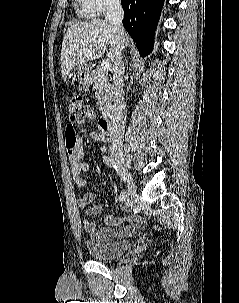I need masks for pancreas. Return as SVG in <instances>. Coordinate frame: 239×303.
Returning <instances> with one entry per match:
<instances>
[{
	"instance_id": "obj_1",
	"label": "pancreas",
	"mask_w": 239,
	"mask_h": 303,
	"mask_svg": "<svg viewBox=\"0 0 239 303\" xmlns=\"http://www.w3.org/2000/svg\"><path fill=\"white\" fill-rule=\"evenodd\" d=\"M92 80L97 93L99 110L102 111L103 114H107L112 107V85L109 81L108 74L97 68L92 71Z\"/></svg>"
}]
</instances>
